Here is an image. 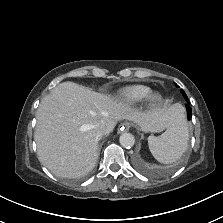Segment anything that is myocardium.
Returning <instances> with one entry per match:
<instances>
[{
  "mask_svg": "<svg viewBox=\"0 0 223 223\" xmlns=\"http://www.w3.org/2000/svg\"><path fill=\"white\" fill-rule=\"evenodd\" d=\"M162 101V96L159 93H150L147 97V103L150 106H156Z\"/></svg>",
  "mask_w": 223,
  "mask_h": 223,
  "instance_id": "myocardium-1",
  "label": "myocardium"
}]
</instances>
